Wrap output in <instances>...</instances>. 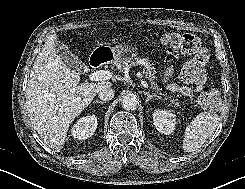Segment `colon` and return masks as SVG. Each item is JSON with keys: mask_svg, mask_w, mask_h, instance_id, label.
Instances as JSON below:
<instances>
[{"mask_svg": "<svg viewBox=\"0 0 245 189\" xmlns=\"http://www.w3.org/2000/svg\"><path fill=\"white\" fill-rule=\"evenodd\" d=\"M162 43L179 53L193 56L181 69L180 77L183 82L196 85L205 79L206 67L210 57L196 35L191 33H166L162 36ZM198 102L206 109L217 108L221 103L220 93L217 89L212 88L201 94Z\"/></svg>", "mask_w": 245, "mask_h": 189, "instance_id": "5ec220e1", "label": "colon"}]
</instances>
